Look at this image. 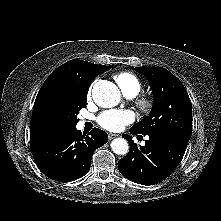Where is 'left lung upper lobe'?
<instances>
[{"label":"left lung upper lobe","mask_w":221,"mask_h":221,"mask_svg":"<svg viewBox=\"0 0 221 221\" xmlns=\"http://www.w3.org/2000/svg\"><path fill=\"white\" fill-rule=\"evenodd\" d=\"M147 77L154 102L149 116L132 126L142 135H165L188 143L192 133V105L182 82L161 67H136Z\"/></svg>","instance_id":"1"}]
</instances>
